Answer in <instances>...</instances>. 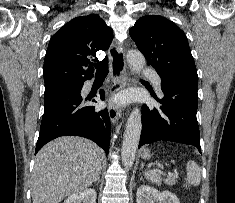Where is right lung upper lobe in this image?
Here are the masks:
<instances>
[{"mask_svg": "<svg viewBox=\"0 0 235 203\" xmlns=\"http://www.w3.org/2000/svg\"><path fill=\"white\" fill-rule=\"evenodd\" d=\"M112 39L113 30L97 14L69 21L50 39L43 67L45 86L91 78L90 59L107 50Z\"/></svg>", "mask_w": 235, "mask_h": 203, "instance_id": "cb5924a9", "label": "right lung upper lobe"}]
</instances>
